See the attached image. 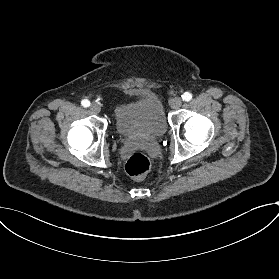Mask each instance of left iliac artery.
<instances>
[{
    "label": "left iliac artery",
    "mask_w": 279,
    "mask_h": 279,
    "mask_svg": "<svg viewBox=\"0 0 279 279\" xmlns=\"http://www.w3.org/2000/svg\"><path fill=\"white\" fill-rule=\"evenodd\" d=\"M182 99H183L184 101H189V100L192 99V94L189 93V92H185V93L182 95Z\"/></svg>",
    "instance_id": "obj_1"
}]
</instances>
